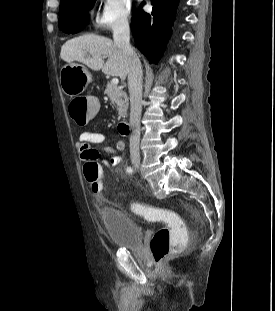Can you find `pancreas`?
I'll list each match as a JSON object with an SVG mask.
<instances>
[{
  "mask_svg": "<svg viewBox=\"0 0 275 311\" xmlns=\"http://www.w3.org/2000/svg\"><path fill=\"white\" fill-rule=\"evenodd\" d=\"M104 93L109 97L111 104L118 111L119 117H126L129 105L126 92L121 87L109 82Z\"/></svg>",
  "mask_w": 275,
  "mask_h": 311,
  "instance_id": "1",
  "label": "pancreas"
}]
</instances>
